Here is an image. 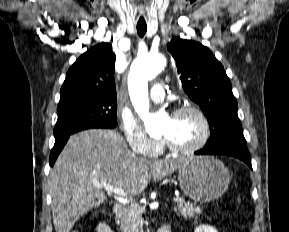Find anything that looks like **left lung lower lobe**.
<instances>
[{"mask_svg": "<svg viewBox=\"0 0 289 232\" xmlns=\"http://www.w3.org/2000/svg\"><path fill=\"white\" fill-rule=\"evenodd\" d=\"M197 155H228L236 157L242 161H244L251 169V159L248 152V149L245 144H234V145H226L211 149L203 148L199 151H196Z\"/></svg>", "mask_w": 289, "mask_h": 232, "instance_id": "obj_1", "label": "left lung lower lobe"}]
</instances>
